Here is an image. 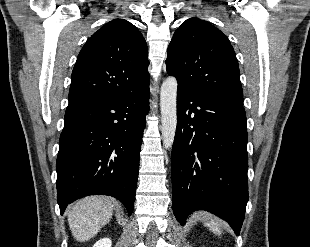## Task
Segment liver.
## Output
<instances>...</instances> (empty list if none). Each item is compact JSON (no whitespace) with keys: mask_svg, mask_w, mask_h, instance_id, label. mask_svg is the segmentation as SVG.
Wrapping results in <instances>:
<instances>
[{"mask_svg":"<svg viewBox=\"0 0 310 247\" xmlns=\"http://www.w3.org/2000/svg\"><path fill=\"white\" fill-rule=\"evenodd\" d=\"M116 205L105 196H89L78 200L68 211V223L73 237L80 242L93 238L112 218Z\"/></svg>","mask_w":310,"mask_h":247,"instance_id":"1","label":"liver"}]
</instances>
